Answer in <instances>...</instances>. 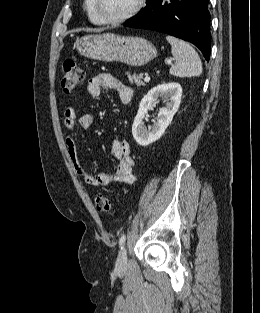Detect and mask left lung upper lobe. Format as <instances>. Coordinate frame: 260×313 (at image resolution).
I'll return each mask as SVG.
<instances>
[{
  "label": "left lung upper lobe",
  "mask_w": 260,
  "mask_h": 313,
  "mask_svg": "<svg viewBox=\"0 0 260 313\" xmlns=\"http://www.w3.org/2000/svg\"><path fill=\"white\" fill-rule=\"evenodd\" d=\"M149 0H147V2H148ZM134 17H132V18H130V20H132Z\"/></svg>",
  "instance_id": "left-lung-upper-lobe-1"
}]
</instances>
